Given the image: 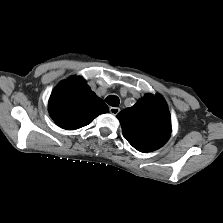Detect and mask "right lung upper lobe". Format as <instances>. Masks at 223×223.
I'll return each mask as SVG.
<instances>
[{
	"instance_id": "cb5924a9",
	"label": "right lung upper lobe",
	"mask_w": 223,
	"mask_h": 223,
	"mask_svg": "<svg viewBox=\"0 0 223 223\" xmlns=\"http://www.w3.org/2000/svg\"><path fill=\"white\" fill-rule=\"evenodd\" d=\"M48 109L54 122L67 130L86 126L109 110L81 77L62 81L51 94Z\"/></svg>"
}]
</instances>
